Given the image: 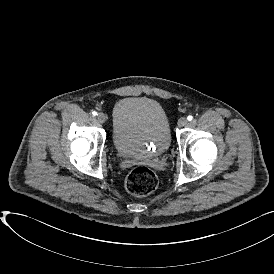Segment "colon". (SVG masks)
Instances as JSON below:
<instances>
[{
    "mask_svg": "<svg viewBox=\"0 0 274 274\" xmlns=\"http://www.w3.org/2000/svg\"><path fill=\"white\" fill-rule=\"evenodd\" d=\"M158 185L156 174L145 167L132 170L126 178L128 192L137 197H143L153 192Z\"/></svg>",
    "mask_w": 274,
    "mask_h": 274,
    "instance_id": "1",
    "label": "colon"
}]
</instances>
